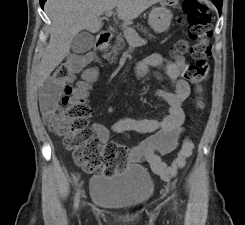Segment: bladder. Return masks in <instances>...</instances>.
<instances>
[{"instance_id":"obj_1","label":"bladder","mask_w":245,"mask_h":225,"mask_svg":"<svg viewBox=\"0 0 245 225\" xmlns=\"http://www.w3.org/2000/svg\"><path fill=\"white\" fill-rule=\"evenodd\" d=\"M154 192L150 174L138 164H126L112 174H97L90 179L91 202L95 207L132 211L149 202Z\"/></svg>"}]
</instances>
